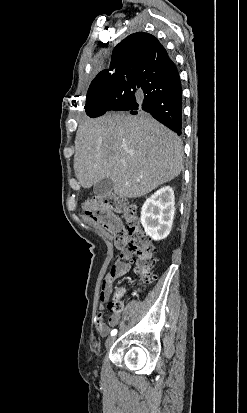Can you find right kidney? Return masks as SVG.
<instances>
[{
    "label": "right kidney",
    "instance_id": "ca27d5eb",
    "mask_svg": "<svg viewBox=\"0 0 247 413\" xmlns=\"http://www.w3.org/2000/svg\"><path fill=\"white\" fill-rule=\"evenodd\" d=\"M175 200L171 186H162L146 198L141 209V223L153 241L168 237L174 219Z\"/></svg>",
    "mask_w": 247,
    "mask_h": 413
}]
</instances>
